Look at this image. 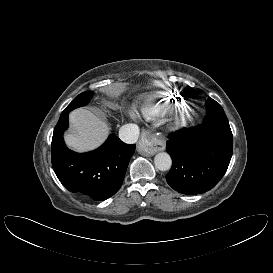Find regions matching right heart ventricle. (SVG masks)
Returning a JSON list of instances; mask_svg holds the SVG:
<instances>
[{
	"instance_id": "right-heart-ventricle-1",
	"label": "right heart ventricle",
	"mask_w": 273,
	"mask_h": 273,
	"mask_svg": "<svg viewBox=\"0 0 273 273\" xmlns=\"http://www.w3.org/2000/svg\"><path fill=\"white\" fill-rule=\"evenodd\" d=\"M178 105L177 98L167 92L148 95L138 105L140 114L148 121H155L170 113Z\"/></svg>"
}]
</instances>
